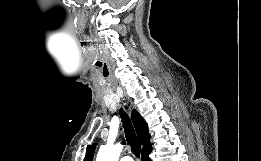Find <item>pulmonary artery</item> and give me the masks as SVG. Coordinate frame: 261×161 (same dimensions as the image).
Wrapping results in <instances>:
<instances>
[{"label": "pulmonary artery", "mask_w": 261, "mask_h": 161, "mask_svg": "<svg viewBox=\"0 0 261 161\" xmlns=\"http://www.w3.org/2000/svg\"><path fill=\"white\" fill-rule=\"evenodd\" d=\"M120 161H133V160H132V158L129 157V156H124V157L121 158Z\"/></svg>", "instance_id": "pulmonary-artery-1"}]
</instances>
